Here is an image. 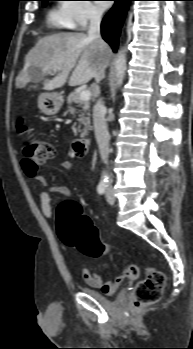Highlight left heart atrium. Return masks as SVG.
<instances>
[{"label": "left heart atrium", "mask_w": 193, "mask_h": 349, "mask_svg": "<svg viewBox=\"0 0 193 349\" xmlns=\"http://www.w3.org/2000/svg\"><path fill=\"white\" fill-rule=\"evenodd\" d=\"M103 7H108L109 4L107 3H101Z\"/></svg>", "instance_id": "obj_1"}]
</instances>
